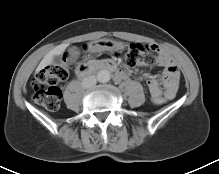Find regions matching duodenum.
<instances>
[{"instance_id": "1", "label": "duodenum", "mask_w": 219, "mask_h": 174, "mask_svg": "<svg viewBox=\"0 0 219 174\" xmlns=\"http://www.w3.org/2000/svg\"><path fill=\"white\" fill-rule=\"evenodd\" d=\"M100 70L113 71V70H116V65L112 61L94 62L88 65L79 66L76 70V74L80 77H84L95 71H100Z\"/></svg>"}]
</instances>
